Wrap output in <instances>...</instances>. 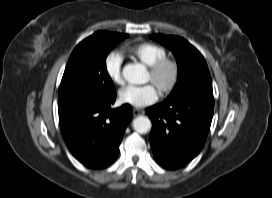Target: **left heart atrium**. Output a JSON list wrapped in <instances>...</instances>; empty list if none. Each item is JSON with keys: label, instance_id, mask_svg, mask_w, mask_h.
I'll return each instance as SVG.
<instances>
[{"label": "left heart atrium", "instance_id": "39dd6f15", "mask_svg": "<svg viewBox=\"0 0 272 198\" xmlns=\"http://www.w3.org/2000/svg\"><path fill=\"white\" fill-rule=\"evenodd\" d=\"M158 98V91L153 84L142 86L129 85L119 92V100L133 107L153 104Z\"/></svg>", "mask_w": 272, "mask_h": 198}]
</instances>
